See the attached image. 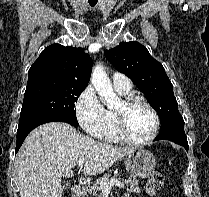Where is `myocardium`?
<instances>
[{"label":"myocardium","instance_id":"obj_1","mask_svg":"<svg viewBox=\"0 0 209 197\" xmlns=\"http://www.w3.org/2000/svg\"><path fill=\"white\" fill-rule=\"evenodd\" d=\"M122 103L126 108H131L138 103L145 105L153 115L154 126L150 135L147 138L142 139V140L134 139L133 137L130 136V134L127 131L126 121H125V117L123 113L115 111L117 131L121 139L129 144L136 145V146L150 144L156 138L159 128H160V116L157 110L148 100H146L144 97L139 96V95H130L126 97Z\"/></svg>","mask_w":209,"mask_h":197}]
</instances>
